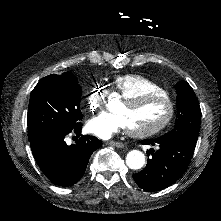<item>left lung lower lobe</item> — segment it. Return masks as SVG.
Here are the masks:
<instances>
[{"instance_id":"left-lung-lower-lobe-1","label":"left lung lower lobe","mask_w":221,"mask_h":221,"mask_svg":"<svg viewBox=\"0 0 221 221\" xmlns=\"http://www.w3.org/2000/svg\"><path fill=\"white\" fill-rule=\"evenodd\" d=\"M196 142L177 131L168 132L157 139L144 140V144L158 143L159 149H151L152 158H148L146 167L133 175L137 185L147 192H155L175 183L186 171Z\"/></svg>"}]
</instances>
